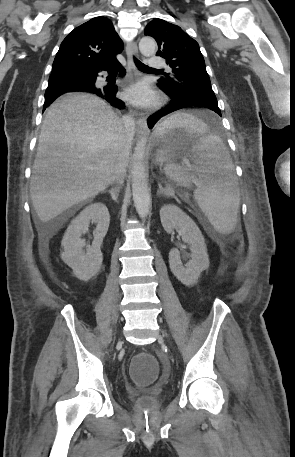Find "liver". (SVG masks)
Masks as SVG:
<instances>
[{
  "label": "liver",
  "mask_w": 295,
  "mask_h": 457,
  "mask_svg": "<svg viewBox=\"0 0 295 457\" xmlns=\"http://www.w3.org/2000/svg\"><path fill=\"white\" fill-rule=\"evenodd\" d=\"M131 141L122 120L104 100L86 93L60 97L47 110L33 164L30 195L47 223L92 200L114 180L115 164Z\"/></svg>",
  "instance_id": "6515ba94"
}]
</instances>
